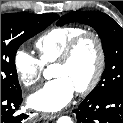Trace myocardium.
Here are the masks:
<instances>
[{
    "label": "myocardium",
    "mask_w": 123,
    "mask_h": 123,
    "mask_svg": "<svg viewBox=\"0 0 123 123\" xmlns=\"http://www.w3.org/2000/svg\"><path fill=\"white\" fill-rule=\"evenodd\" d=\"M87 38L92 39L96 45L97 57H98L97 66L94 74L92 75L88 83L76 89V91L79 94H86L91 92L98 85L104 73L106 56H105L104 44L99 34L91 30L82 31L67 44L62 55L55 62L56 63L55 65H65L69 63L72 57L74 56L76 50L80 46V44Z\"/></svg>",
    "instance_id": "1"
}]
</instances>
